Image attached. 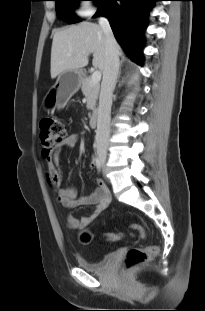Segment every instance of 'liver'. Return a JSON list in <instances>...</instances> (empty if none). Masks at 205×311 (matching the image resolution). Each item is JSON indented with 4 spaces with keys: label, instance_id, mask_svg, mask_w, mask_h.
I'll return each mask as SVG.
<instances>
[{
    "label": "liver",
    "instance_id": "1",
    "mask_svg": "<svg viewBox=\"0 0 205 311\" xmlns=\"http://www.w3.org/2000/svg\"><path fill=\"white\" fill-rule=\"evenodd\" d=\"M105 44L103 30L95 23L81 22L56 31L51 48V78H56L63 71L80 70L87 66L91 53L93 66L103 72L106 65ZM117 48L119 51L118 44Z\"/></svg>",
    "mask_w": 205,
    "mask_h": 311
}]
</instances>
